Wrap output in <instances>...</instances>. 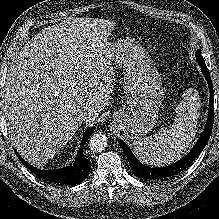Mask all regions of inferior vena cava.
Wrapping results in <instances>:
<instances>
[{"mask_svg":"<svg viewBox=\"0 0 219 219\" xmlns=\"http://www.w3.org/2000/svg\"><path fill=\"white\" fill-rule=\"evenodd\" d=\"M79 116H80L81 119L85 120V119H88V118H95L97 116V114L94 111H92L91 109L86 108V109H83L79 113Z\"/></svg>","mask_w":219,"mask_h":219,"instance_id":"inferior-vena-cava-1","label":"inferior vena cava"}]
</instances>
